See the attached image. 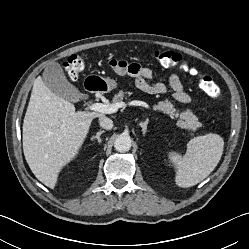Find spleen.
<instances>
[{
	"label": "spleen",
	"mask_w": 249,
	"mask_h": 249,
	"mask_svg": "<svg viewBox=\"0 0 249 249\" xmlns=\"http://www.w3.org/2000/svg\"><path fill=\"white\" fill-rule=\"evenodd\" d=\"M223 149V138L209 133L191 139L183 156L170 152L169 158L178 168L176 184L188 188L204 180L219 163Z\"/></svg>",
	"instance_id": "3e777b00"
}]
</instances>
